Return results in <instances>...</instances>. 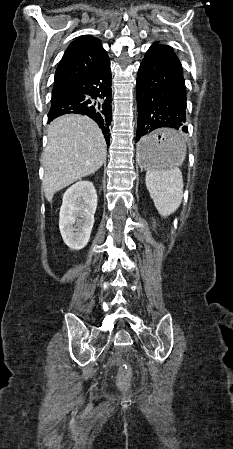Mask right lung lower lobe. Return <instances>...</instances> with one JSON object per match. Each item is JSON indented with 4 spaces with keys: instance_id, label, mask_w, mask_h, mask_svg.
Listing matches in <instances>:
<instances>
[{
    "instance_id": "98d812e1",
    "label": "right lung lower lobe",
    "mask_w": 233,
    "mask_h": 449,
    "mask_svg": "<svg viewBox=\"0 0 233 449\" xmlns=\"http://www.w3.org/2000/svg\"><path fill=\"white\" fill-rule=\"evenodd\" d=\"M69 95L51 102L48 122L64 114L77 113L92 118L101 128L109 146L112 120V89L109 60L99 69L65 88Z\"/></svg>"
}]
</instances>
